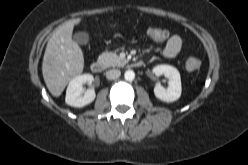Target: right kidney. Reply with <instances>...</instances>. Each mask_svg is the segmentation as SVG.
I'll list each match as a JSON object with an SVG mask.
<instances>
[{
  "label": "right kidney",
  "mask_w": 248,
  "mask_h": 165,
  "mask_svg": "<svg viewBox=\"0 0 248 165\" xmlns=\"http://www.w3.org/2000/svg\"><path fill=\"white\" fill-rule=\"evenodd\" d=\"M94 80L91 74H83L73 78L66 90L65 102L73 107H84L94 101L96 94L94 89H88L84 93L83 84H91ZM84 95L82 96V94Z\"/></svg>",
  "instance_id": "obj_1"
}]
</instances>
